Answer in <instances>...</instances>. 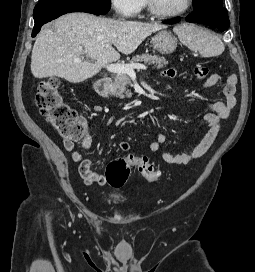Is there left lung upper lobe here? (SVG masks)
Listing matches in <instances>:
<instances>
[{
	"mask_svg": "<svg viewBox=\"0 0 255 272\" xmlns=\"http://www.w3.org/2000/svg\"><path fill=\"white\" fill-rule=\"evenodd\" d=\"M194 4H195V9L199 8L205 4L208 3H219L222 4V0H193Z\"/></svg>",
	"mask_w": 255,
	"mask_h": 272,
	"instance_id": "1",
	"label": "left lung upper lobe"
}]
</instances>
